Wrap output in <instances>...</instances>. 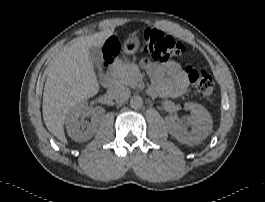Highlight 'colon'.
I'll use <instances>...</instances> for the list:
<instances>
[{
  "label": "colon",
  "mask_w": 265,
  "mask_h": 202,
  "mask_svg": "<svg viewBox=\"0 0 265 202\" xmlns=\"http://www.w3.org/2000/svg\"><path fill=\"white\" fill-rule=\"evenodd\" d=\"M143 49L146 56L157 62H165L171 57L182 56L187 52L186 45L174 36L156 29H147L143 32ZM104 60L101 69L106 70L108 65L119 53V43L115 39H110L106 46ZM148 60L146 57L142 61ZM184 72L188 75L190 82L197 95L207 102H212L213 80L208 71L202 67L186 64L183 66Z\"/></svg>",
  "instance_id": "obj_1"
}]
</instances>
